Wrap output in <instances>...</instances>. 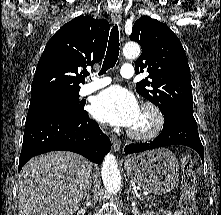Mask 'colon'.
Returning <instances> with one entry per match:
<instances>
[{
	"label": "colon",
	"mask_w": 221,
	"mask_h": 215,
	"mask_svg": "<svg viewBox=\"0 0 221 215\" xmlns=\"http://www.w3.org/2000/svg\"><path fill=\"white\" fill-rule=\"evenodd\" d=\"M181 190L180 207L183 215H199L195 205L196 177L192 169L191 159L185 156L181 166Z\"/></svg>",
	"instance_id": "colon-1"
}]
</instances>
